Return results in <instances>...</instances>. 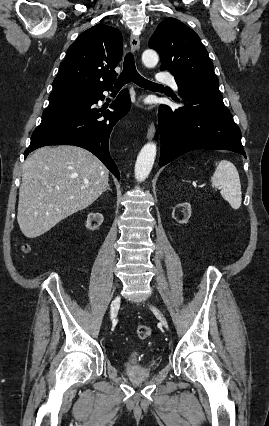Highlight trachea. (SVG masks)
<instances>
[{
	"instance_id": "obj_1",
	"label": "trachea",
	"mask_w": 269,
	"mask_h": 426,
	"mask_svg": "<svg viewBox=\"0 0 269 426\" xmlns=\"http://www.w3.org/2000/svg\"><path fill=\"white\" fill-rule=\"evenodd\" d=\"M132 81L142 88H160L162 85L149 81L142 77L136 70L134 56L127 53L124 59L123 71L119 76L115 88H121L126 83Z\"/></svg>"
}]
</instances>
